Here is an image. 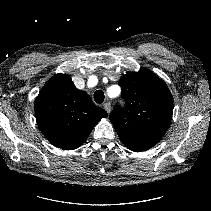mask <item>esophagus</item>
Returning a JSON list of instances; mask_svg holds the SVG:
<instances>
[{
    "mask_svg": "<svg viewBox=\"0 0 211 211\" xmlns=\"http://www.w3.org/2000/svg\"><path fill=\"white\" fill-rule=\"evenodd\" d=\"M103 107H104V109H105V111L107 113H110V111H111V104H110V102L104 103Z\"/></svg>",
    "mask_w": 211,
    "mask_h": 211,
    "instance_id": "esophagus-1",
    "label": "esophagus"
}]
</instances>
